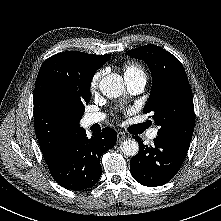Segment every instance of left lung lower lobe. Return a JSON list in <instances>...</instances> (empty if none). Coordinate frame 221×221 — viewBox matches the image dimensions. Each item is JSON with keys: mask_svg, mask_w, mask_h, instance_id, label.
Wrapping results in <instances>:
<instances>
[{"mask_svg": "<svg viewBox=\"0 0 221 221\" xmlns=\"http://www.w3.org/2000/svg\"><path fill=\"white\" fill-rule=\"evenodd\" d=\"M139 143V153L130 160L133 178L148 187L161 186L170 181L179 171L186 157L188 147L160 136L154 145L143 144L139 136H133Z\"/></svg>", "mask_w": 221, "mask_h": 221, "instance_id": "obj_1", "label": "left lung lower lobe"}]
</instances>
